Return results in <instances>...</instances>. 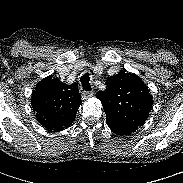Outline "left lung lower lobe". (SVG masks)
Returning a JSON list of instances; mask_svg holds the SVG:
<instances>
[{"instance_id": "obj_1", "label": "left lung lower lobe", "mask_w": 183, "mask_h": 183, "mask_svg": "<svg viewBox=\"0 0 183 183\" xmlns=\"http://www.w3.org/2000/svg\"><path fill=\"white\" fill-rule=\"evenodd\" d=\"M109 128L116 134L118 135H128L132 132H134L135 130H137L136 128L134 127H122V126H119V125H116V124H108Z\"/></svg>"}]
</instances>
